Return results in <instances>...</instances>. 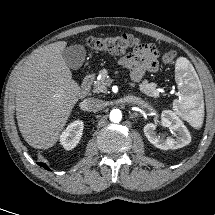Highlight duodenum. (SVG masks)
<instances>
[{
    "label": "duodenum",
    "mask_w": 215,
    "mask_h": 215,
    "mask_svg": "<svg viewBox=\"0 0 215 215\" xmlns=\"http://www.w3.org/2000/svg\"><path fill=\"white\" fill-rule=\"evenodd\" d=\"M93 78H94V75L93 74H87L83 81H82V85H81V96L82 97H85L88 95L89 91H90V88H91V85H92V82H93Z\"/></svg>",
    "instance_id": "1"
}]
</instances>
